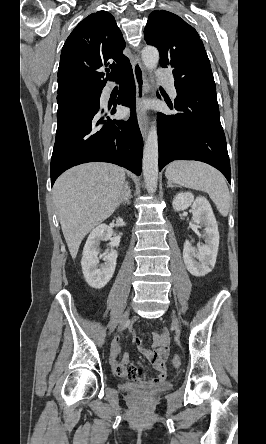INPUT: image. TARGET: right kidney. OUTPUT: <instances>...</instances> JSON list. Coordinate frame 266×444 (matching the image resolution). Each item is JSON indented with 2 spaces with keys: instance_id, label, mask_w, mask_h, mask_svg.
Masks as SVG:
<instances>
[{
  "instance_id": "right-kidney-1",
  "label": "right kidney",
  "mask_w": 266,
  "mask_h": 444,
  "mask_svg": "<svg viewBox=\"0 0 266 444\" xmlns=\"http://www.w3.org/2000/svg\"><path fill=\"white\" fill-rule=\"evenodd\" d=\"M112 229L106 225H98L88 236L81 260L82 271L86 282L93 288H103L112 278L115 268L117 251L107 250L103 257L104 264L99 267V244L111 239Z\"/></svg>"
}]
</instances>
